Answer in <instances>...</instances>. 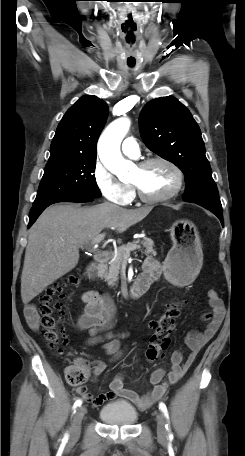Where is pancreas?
<instances>
[{"instance_id":"pancreas-1","label":"pancreas","mask_w":245,"mask_h":456,"mask_svg":"<svg viewBox=\"0 0 245 456\" xmlns=\"http://www.w3.org/2000/svg\"><path fill=\"white\" fill-rule=\"evenodd\" d=\"M141 243L145 250L143 251L146 255L156 256L157 252L154 249V242L150 238H144L142 241L135 240L131 243H127L126 245H122L117 248V252H110L108 255L109 265L104 266V272L102 273L101 277L107 281L109 286L116 285V282L119 279L120 270L123 264V260L128 255L126 249H129L133 245ZM122 284H126V279L121 277Z\"/></svg>"}]
</instances>
